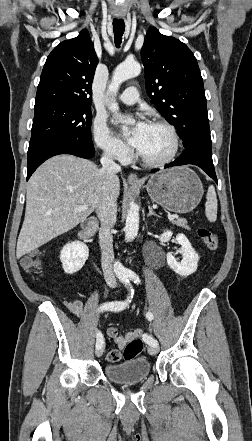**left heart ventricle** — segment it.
Wrapping results in <instances>:
<instances>
[{
    "label": "left heart ventricle",
    "instance_id": "left-heart-ventricle-1",
    "mask_svg": "<svg viewBox=\"0 0 252 441\" xmlns=\"http://www.w3.org/2000/svg\"><path fill=\"white\" fill-rule=\"evenodd\" d=\"M172 149V140L168 131L159 126L149 125L143 145L139 152L150 160L165 158Z\"/></svg>",
    "mask_w": 252,
    "mask_h": 441
}]
</instances>
